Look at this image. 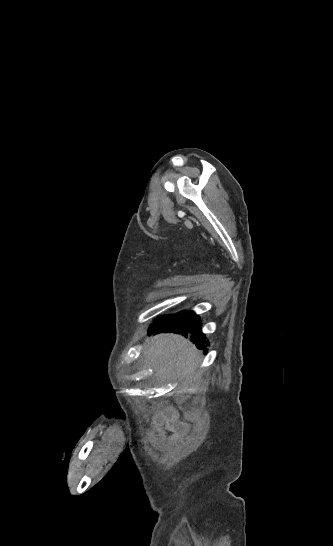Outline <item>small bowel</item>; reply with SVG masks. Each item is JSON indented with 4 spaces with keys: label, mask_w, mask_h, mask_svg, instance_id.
Here are the masks:
<instances>
[{
    "label": "small bowel",
    "mask_w": 333,
    "mask_h": 546,
    "mask_svg": "<svg viewBox=\"0 0 333 546\" xmlns=\"http://www.w3.org/2000/svg\"><path fill=\"white\" fill-rule=\"evenodd\" d=\"M168 430L172 431V440L176 441L182 436L186 431V426L183 423H167Z\"/></svg>",
    "instance_id": "small-bowel-1"
}]
</instances>
